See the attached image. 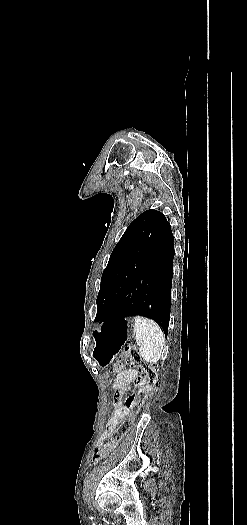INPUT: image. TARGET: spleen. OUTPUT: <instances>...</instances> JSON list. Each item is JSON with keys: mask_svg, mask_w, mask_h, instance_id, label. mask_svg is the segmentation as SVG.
Returning <instances> with one entry per match:
<instances>
[{"mask_svg": "<svg viewBox=\"0 0 247 525\" xmlns=\"http://www.w3.org/2000/svg\"><path fill=\"white\" fill-rule=\"evenodd\" d=\"M135 341L139 347L140 357L146 363L156 365L159 361L164 347V333L159 325L146 319V317H134Z\"/></svg>", "mask_w": 247, "mask_h": 525, "instance_id": "spleen-1", "label": "spleen"}]
</instances>
